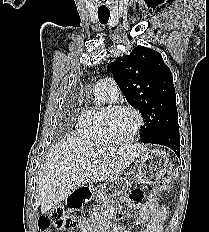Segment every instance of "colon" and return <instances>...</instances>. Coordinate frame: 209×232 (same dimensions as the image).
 Segmentation results:
<instances>
[{
	"instance_id": "obj_1",
	"label": "colon",
	"mask_w": 209,
	"mask_h": 232,
	"mask_svg": "<svg viewBox=\"0 0 209 232\" xmlns=\"http://www.w3.org/2000/svg\"><path fill=\"white\" fill-rule=\"evenodd\" d=\"M50 226L62 232H76L80 226V221L69 215L64 208L56 207L38 219V228L41 231H47Z\"/></svg>"
}]
</instances>
